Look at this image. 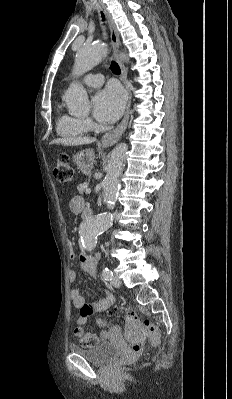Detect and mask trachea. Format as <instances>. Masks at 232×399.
<instances>
[{"label": "trachea", "mask_w": 232, "mask_h": 399, "mask_svg": "<svg viewBox=\"0 0 232 399\" xmlns=\"http://www.w3.org/2000/svg\"><path fill=\"white\" fill-rule=\"evenodd\" d=\"M103 20H104V15H102ZM110 69L113 73H115L116 75H120V67L118 65V63H116L115 61H112L111 65H110Z\"/></svg>", "instance_id": "1"}]
</instances>
